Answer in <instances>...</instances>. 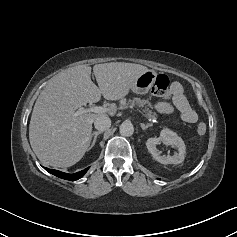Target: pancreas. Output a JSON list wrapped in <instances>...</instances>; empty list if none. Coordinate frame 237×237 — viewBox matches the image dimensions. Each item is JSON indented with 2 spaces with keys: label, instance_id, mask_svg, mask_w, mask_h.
<instances>
[{
  "label": "pancreas",
  "instance_id": "obj_1",
  "mask_svg": "<svg viewBox=\"0 0 237 237\" xmlns=\"http://www.w3.org/2000/svg\"><path fill=\"white\" fill-rule=\"evenodd\" d=\"M128 104L131 106L137 105L141 108H144L143 111L145 112L146 117L149 119H156V117H157V114L152 112L149 109V107L151 108L152 106L148 100L141 99V98H134L132 100H128Z\"/></svg>",
  "mask_w": 237,
  "mask_h": 237
}]
</instances>
